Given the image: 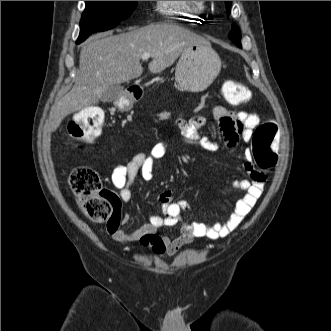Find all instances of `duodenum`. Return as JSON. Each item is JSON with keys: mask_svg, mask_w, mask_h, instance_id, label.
Instances as JSON below:
<instances>
[{"mask_svg": "<svg viewBox=\"0 0 331 331\" xmlns=\"http://www.w3.org/2000/svg\"><path fill=\"white\" fill-rule=\"evenodd\" d=\"M142 94H143V90L141 87L138 86L130 87L127 91V96H130L135 100L141 98Z\"/></svg>", "mask_w": 331, "mask_h": 331, "instance_id": "1", "label": "duodenum"}]
</instances>
